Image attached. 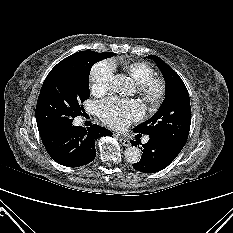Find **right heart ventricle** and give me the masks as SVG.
Here are the masks:
<instances>
[{"label": "right heart ventricle", "mask_w": 233, "mask_h": 233, "mask_svg": "<svg viewBox=\"0 0 233 233\" xmlns=\"http://www.w3.org/2000/svg\"><path fill=\"white\" fill-rule=\"evenodd\" d=\"M125 69L137 84L143 83L154 77L153 68L145 62H131L125 66Z\"/></svg>", "instance_id": "e07e8e85"}]
</instances>
